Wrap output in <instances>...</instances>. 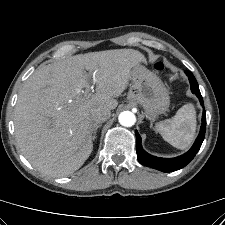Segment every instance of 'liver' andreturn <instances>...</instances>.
Instances as JSON below:
<instances>
[{"mask_svg": "<svg viewBox=\"0 0 225 225\" xmlns=\"http://www.w3.org/2000/svg\"><path fill=\"white\" fill-rule=\"evenodd\" d=\"M145 62L137 50L114 49L39 67L25 81L14 112L17 144L25 158L51 176L78 170L93 150L92 109H115L114 98L126 89L133 68ZM90 81L96 93H81Z\"/></svg>", "mask_w": 225, "mask_h": 225, "instance_id": "6515ba94", "label": "liver"}]
</instances>
